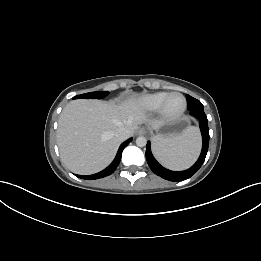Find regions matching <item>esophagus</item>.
Returning a JSON list of instances; mask_svg holds the SVG:
<instances>
[{
	"label": "esophagus",
	"mask_w": 261,
	"mask_h": 261,
	"mask_svg": "<svg viewBox=\"0 0 261 261\" xmlns=\"http://www.w3.org/2000/svg\"><path fill=\"white\" fill-rule=\"evenodd\" d=\"M137 133H138L139 135L145 134V133H146V128H145V127H140V128L138 129Z\"/></svg>",
	"instance_id": "esophagus-1"
}]
</instances>
